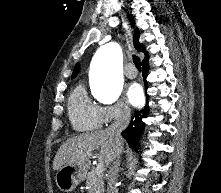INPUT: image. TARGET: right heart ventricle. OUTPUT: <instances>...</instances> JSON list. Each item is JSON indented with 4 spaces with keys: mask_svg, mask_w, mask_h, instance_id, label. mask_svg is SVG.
<instances>
[{
    "mask_svg": "<svg viewBox=\"0 0 221 193\" xmlns=\"http://www.w3.org/2000/svg\"><path fill=\"white\" fill-rule=\"evenodd\" d=\"M68 113L73 128L77 131H91L102 126L101 107L78 85L69 98Z\"/></svg>",
    "mask_w": 221,
    "mask_h": 193,
    "instance_id": "e07e8e85",
    "label": "right heart ventricle"
}]
</instances>
